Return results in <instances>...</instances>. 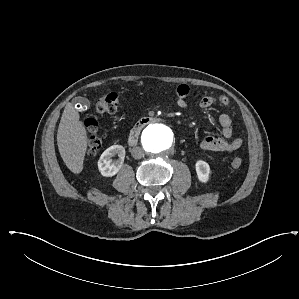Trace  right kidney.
<instances>
[{"instance_id": "obj_1", "label": "right kidney", "mask_w": 299, "mask_h": 299, "mask_svg": "<svg viewBox=\"0 0 299 299\" xmlns=\"http://www.w3.org/2000/svg\"><path fill=\"white\" fill-rule=\"evenodd\" d=\"M118 155L119 159L112 162V157ZM125 158V149L121 145H113L107 148L98 161V169L103 176L112 177L122 167Z\"/></svg>"}]
</instances>
